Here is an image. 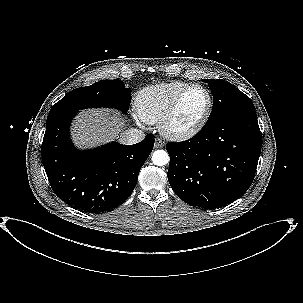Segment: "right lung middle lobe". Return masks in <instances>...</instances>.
<instances>
[{"mask_svg":"<svg viewBox=\"0 0 303 303\" xmlns=\"http://www.w3.org/2000/svg\"><path fill=\"white\" fill-rule=\"evenodd\" d=\"M130 94L131 88H125L118 79L101 80L90 86L70 91L51 107L49 114L94 107L117 108L126 113L131 102Z\"/></svg>","mask_w":303,"mask_h":303,"instance_id":"obj_1","label":"right lung middle lobe"}]
</instances>
